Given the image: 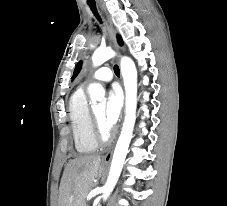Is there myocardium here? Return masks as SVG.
Instances as JSON below:
<instances>
[{
    "label": "myocardium",
    "mask_w": 227,
    "mask_h": 206,
    "mask_svg": "<svg viewBox=\"0 0 227 206\" xmlns=\"http://www.w3.org/2000/svg\"><path fill=\"white\" fill-rule=\"evenodd\" d=\"M90 116H91V125H92V132H93L94 138L98 143H101V144L108 143L112 137V131L109 130L107 132H104L102 130L93 110H90Z\"/></svg>",
    "instance_id": "1"
}]
</instances>
